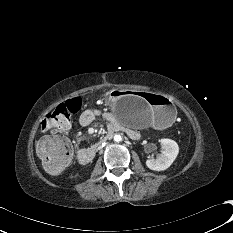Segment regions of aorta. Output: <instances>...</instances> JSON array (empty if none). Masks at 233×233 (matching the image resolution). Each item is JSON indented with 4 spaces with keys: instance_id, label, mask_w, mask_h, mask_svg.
I'll return each mask as SVG.
<instances>
[{
    "instance_id": "aorta-1",
    "label": "aorta",
    "mask_w": 233,
    "mask_h": 233,
    "mask_svg": "<svg viewBox=\"0 0 233 233\" xmlns=\"http://www.w3.org/2000/svg\"><path fill=\"white\" fill-rule=\"evenodd\" d=\"M114 141H116V142H120V141H122V137H121V135H120V134H116V135H114Z\"/></svg>"
}]
</instances>
